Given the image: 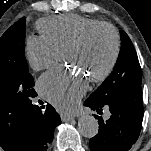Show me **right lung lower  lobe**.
<instances>
[{
	"instance_id": "right-lung-lower-lobe-1",
	"label": "right lung lower lobe",
	"mask_w": 151,
	"mask_h": 151,
	"mask_svg": "<svg viewBox=\"0 0 151 151\" xmlns=\"http://www.w3.org/2000/svg\"><path fill=\"white\" fill-rule=\"evenodd\" d=\"M32 108V132L27 151H46L53 140L56 126L61 123L60 116L50 104L47 105L45 112L38 106L32 105Z\"/></svg>"
}]
</instances>
